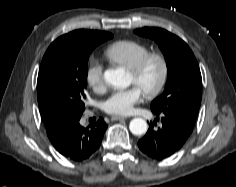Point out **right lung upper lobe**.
Wrapping results in <instances>:
<instances>
[{"mask_svg":"<svg viewBox=\"0 0 236 187\" xmlns=\"http://www.w3.org/2000/svg\"><path fill=\"white\" fill-rule=\"evenodd\" d=\"M96 34H109V33L101 32V31H93V30H76V31L66 34V36L80 39V38H86V37L96 35ZM63 129L64 127H47L46 126L47 135L50 141L54 142L58 138L60 133L63 131Z\"/></svg>","mask_w":236,"mask_h":187,"instance_id":"cb5924a9","label":"right lung upper lobe"}]
</instances>
